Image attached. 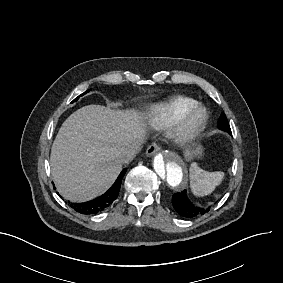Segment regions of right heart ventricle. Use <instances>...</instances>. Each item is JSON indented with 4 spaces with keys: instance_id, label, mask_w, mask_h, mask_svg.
Masks as SVG:
<instances>
[{
    "instance_id": "1",
    "label": "right heart ventricle",
    "mask_w": 283,
    "mask_h": 283,
    "mask_svg": "<svg viewBox=\"0 0 283 283\" xmlns=\"http://www.w3.org/2000/svg\"><path fill=\"white\" fill-rule=\"evenodd\" d=\"M171 102H176L185 107H190L191 105L199 104L198 100L187 96H178L168 103ZM168 103L150 106L146 111L145 119L152 125H154L156 129H162L163 127L165 106Z\"/></svg>"
}]
</instances>
